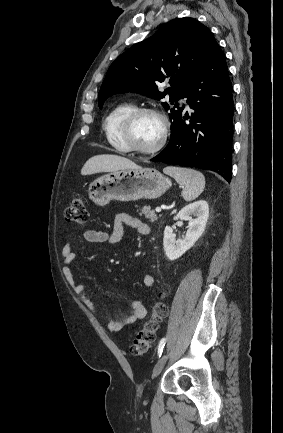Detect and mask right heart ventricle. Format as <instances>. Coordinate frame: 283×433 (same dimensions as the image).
Segmentation results:
<instances>
[{
	"instance_id": "e07e8e85",
	"label": "right heart ventricle",
	"mask_w": 283,
	"mask_h": 433,
	"mask_svg": "<svg viewBox=\"0 0 283 433\" xmlns=\"http://www.w3.org/2000/svg\"><path fill=\"white\" fill-rule=\"evenodd\" d=\"M135 108L130 102H124L112 109L103 121V130L109 144L120 153H127L128 149L120 139V128L127 113Z\"/></svg>"
}]
</instances>
